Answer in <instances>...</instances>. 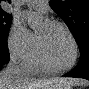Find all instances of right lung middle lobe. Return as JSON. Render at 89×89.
Here are the masks:
<instances>
[{
  "mask_svg": "<svg viewBox=\"0 0 89 89\" xmlns=\"http://www.w3.org/2000/svg\"><path fill=\"white\" fill-rule=\"evenodd\" d=\"M11 21L12 16L6 13L0 7V43L4 42L7 39Z\"/></svg>",
  "mask_w": 89,
  "mask_h": 89,
  "instance_id": "1",
  "label": "right lung middle lobe"
}]
</instances>
